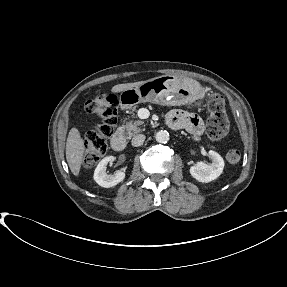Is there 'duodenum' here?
<instances>
[{
  "label": "duodenum",
  "instance_id": "duodenum-1",
  "mask_svg": "<svg viewBox=\"0 0 287 287\" xmlns=\"http://www.w3.org/2000/svg\"><path fill=\"white\" fill-rule=\"evenodd\" d=\"M111 146L117 152H122L127 147V142L122 133H116L111 138Z\"/></svg>",
  "mask_w": 287,
  "mask_h": 287
}]
</instances>
